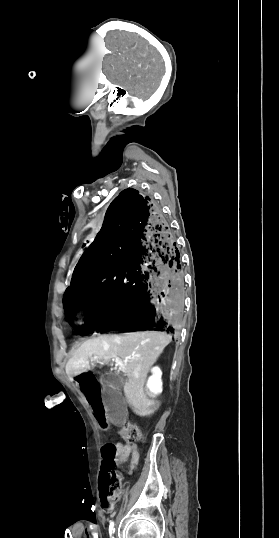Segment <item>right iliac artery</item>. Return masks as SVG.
I'll return each mask as SVG.
<instances>
[{
	"label": "right iliac artery",
	"instance_id": "obj_1",
	"mask_svg": "<svg viewBox=\"0 0 279 538\" xmlns=\"http://www.w3.org/2000/svg\"><path fill=\"white\" fill-rule=\"evenodd\" d=\"M115 531V528H114V522L112 521L110 523V526H109V533H110V537L113 538V533Z\"/></svg>",
	"mask_w": 279,
	"mask_h": 538
}]
</instances>
